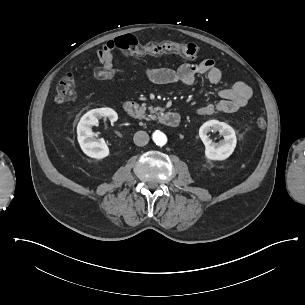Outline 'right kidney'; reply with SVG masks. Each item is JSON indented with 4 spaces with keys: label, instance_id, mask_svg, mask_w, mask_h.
Masks as SVG:
<instances>
[{
    "label": "right kidney",
    "instance_id": "ca27d5eb",
    "mask_svg": "<svg viewBox=\"0 0 305 305\" xmlns=\"http://www.w3.org/2000/svg\"><path fill=\"white\" fill-rule=\"evenodd\" d=\"M100 118H106L111 123L118 119L117 113L110 108L94 109L84 114L77 127V140L83 153L93 159L101 160L110 154V150L102 140L90 139L91 129L97 126Z\"/></svg>",
    "mask_w": 305,
    "mask_h": 305
}]
</instances>
